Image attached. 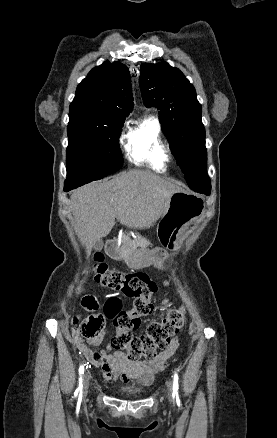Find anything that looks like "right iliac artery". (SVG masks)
<instances>
[{
	"mask_svg": "<svg viewBox=\"0 0 277 438\" xmlns=\"http://www.w3.org/2000/svg\"><path fill=\"white\" fill-rule=\"evenodd\" d=\"M83 373H84V366L83 365H81L80 367H79V386H78V388H77V390L75 391V395H78V393H79V399H81V397H82V387H83V385H82V375H83Z\"/></svg>",
	"mask_w": 277,
	"mask_h": 438,
	"instance_id": "82829eb1",
	"label": "right iliac artery"
}]
</instances>
